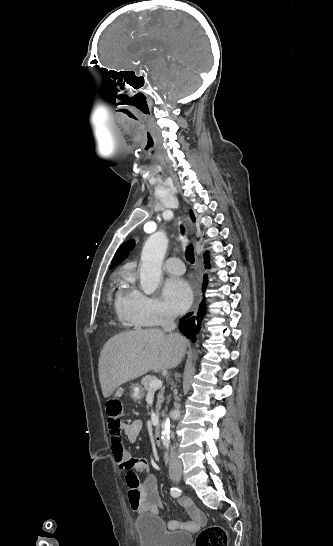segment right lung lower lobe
I'll list each match as a JSON object with an SVG mask.
<instances>
[{
    "instance_id": "1",
    "label": "right lung lower lobe",
    "mask_w": 333,
    "mask_h": 546,
    "mask_svg": "<svg viewBox=\"0 0 333 546\" xmlns=\"http://www.w3.org/2000/svg\"><path fill=\"white\" fill-rule=\"evenodd\" d=\"M208 252L204 253V262L205 265L208 267ZM207 286V275H204V282L202 284V292L205 291ZM205 305L204 300L200 303L198 312L196 315H193V312L187 313L184 317L180 319L179 329L180 331L190 340L195 342L196 340V334L200 330L201 321L203 319V316L205 315Z\"/></svg>"
}]
</instances>
